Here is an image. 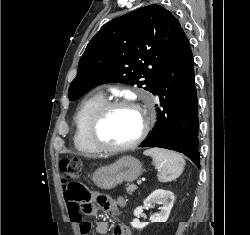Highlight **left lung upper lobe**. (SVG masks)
<instances>
[{
    "label": "left lung upper lobe",
    "instance_id": "1",
    "mask_svg": "<svg viewBox=\"0 0 250 235\" xmlns=\"http://www.w3.org/2000/svg\"><path fill=\"white\" fill-rule=\"evenodd\" d=\"M181 31L174 15L155 4L109 21L87 45L69 88V100L111 81L151 92Z\"/></svg>",
    "mask_w": 250,
    "mask_h": 235
}]
</instances>
